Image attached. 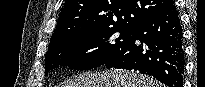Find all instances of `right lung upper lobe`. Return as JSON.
<instances>
[{"label": "right lung upper lobe", "mask_w": 205, "mask_h": 87, "mask_svg": "<svg viewBox=\"0 0 205 87\" xmlns=\"http://www.w3.org/2000/svg\"><path fill=\"white\" fill-rule=\"evenodd\" d=\"M172 3V0H66L50 44L80 32L135 29Z\"/></svg>", "instance_id": "1"}]
</instances>
